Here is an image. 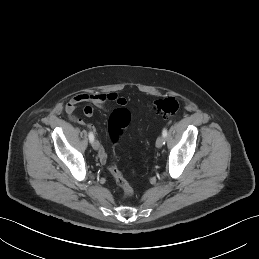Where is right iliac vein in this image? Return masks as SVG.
I'll return each mask as SVG.
<instances>
[{
	"instance_id": "right-iliac-vein-1",
	"label": "right iliac vein",
	"mask_w": 259,
	"mask_h": 259,
	"mask_svg": "<svg viewBox=\"0 0 259 259\" xmlns=\"http://www.w3.org/2000/svg\"><path fill=\"white\" fill-rule=\"evenodd\" d=\"M99 146H100V144L97 140L92 142V147H93L94 150H98Z\"/></svg>"
}]
</instances>
